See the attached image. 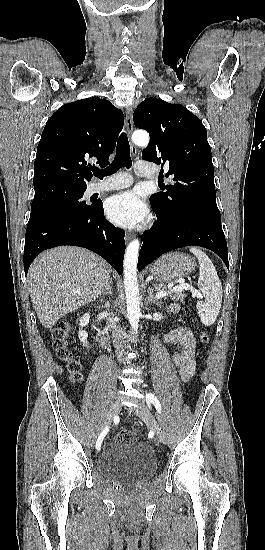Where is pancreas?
Returning <instances> with one entry per match:
<instances>
[{"mask_svg":"<svg viewBox=\"0 0 265 550\" xmlns=\"http://www.w3.org/2000/svg\"><path fill=\"white\" fill-rule=\"evenodd\" d=\"M154 287L157 291L169 292L166 297H169L171 300L183 302L185 298V294L181 292H174L173 288H167L164 284L154 285Z\"/></svg>","mask_w":265,"mask_h":550,"instance_id":"1","label":"pancreas"}]
</instances>
